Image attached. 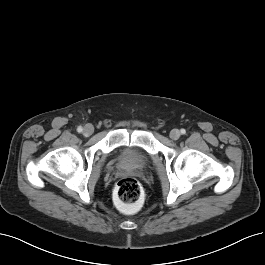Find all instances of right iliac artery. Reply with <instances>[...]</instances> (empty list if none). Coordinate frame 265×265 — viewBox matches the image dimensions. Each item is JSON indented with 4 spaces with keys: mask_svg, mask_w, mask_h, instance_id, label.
Listing matches in <instances>:
<instances>
[{
    "mask_svg": "<svg viewBox=\"0 0 265 265\" xmlns=\"http://www.w3.org/2000/svg\"><path fill=\"white\" fill-rule=\"evenodd\" d=\"M77 131L80 133V132L83 131V128H82V127H78V128H77Z\"/></svg>",
    "mask_w": 265,
    "mask_h": 265,
    "instance_id": "right-iliac-artery-1",
    "label": "right iliac artery"
}]
</instances>
